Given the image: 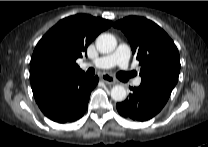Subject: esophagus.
Segmentation results:
<instances>
[{"label":"esophagus","instance_id":"34e87169","mask_svg":"<svg viewBox=\"0 0 208 147\" xmlns=\"http://www.w3.org/2000/svg\"><path fill=\"white\" fill-rule=\"evenodd\" d=\"M101 80L108 85H114L117 83V80L113 76L106 73L101 75Z\"/></svg>","mask_w":208,"mask_h":147}]
</instances>
